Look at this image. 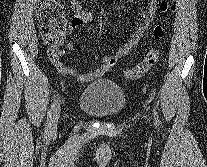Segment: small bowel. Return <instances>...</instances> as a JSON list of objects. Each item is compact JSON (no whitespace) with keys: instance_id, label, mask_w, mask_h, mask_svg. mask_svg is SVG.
Returning a JSON list of instances; mask_svg holds the SVG:
<instances>
[{"instance_id":"small-bowel-1","label":"small bowel","mask_w":207,"mask_h":167,"mask_svg":"<svg viewBox=\"0 0 207 167\" xmlns=\"http://www.w3.org/2000/svg\"><path fill=\"white\" fill-rule=\"evenodd\" d=\"M68 1L75 14L74 20L68 26V30L73 33V36L65 42L64 49H60V45L65 39L63 34L58 45L49 46L48 55L51 62L62 75L73 76L79 82L93 81L105 75L117 64L120 59L131 53V51L137 46L140 39L149 29L156 12L158 2V0H146L145 10L139 12V25L133 31L128 40L119 48L110 53L102 55L96 54L94 64L100 62L101 65L95 69H90L71 67L62 61V57L72 51L75 47L76 33L83 27L84 24L91 22L93 19L92 14L82 6L81 0Z\"/></svg>"}]
</instances>
